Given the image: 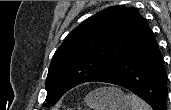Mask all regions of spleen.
<instances>
[{"instance_id":"obj_1","label":"spleen","mask_w":171,"mask_h":110,"mask_svg":"<svg viewBox=\"0 0 171 110\" xmlns=\"http://www.w3.org/2000/svg\"><path fill=\"white\" fill-rule=\"evenodd\" d=\"M126 98L130 102L132 110H151V107L135 94L128 93Z\"/></svg>"}]
</instances>
